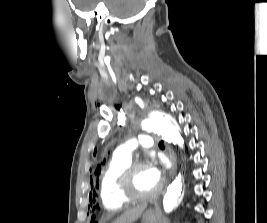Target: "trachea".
Returning <instances> with one entry per match:
<instances>
[{"mask_svg": "<svg viewBox=\"0 0 267 223\" xmlns=\"http://www.w3.org/2000/svg\"><path fill=\"white\" fill-rule=\"evenodd\" d=\"M159 146H160V147H163V146H164V142H163V141H160V142H159Z\"/></svg>", "mask_w": 267, "mask_h": 223, "instance_id": "trachea-1", "label": "trachea"}]
</instances>
